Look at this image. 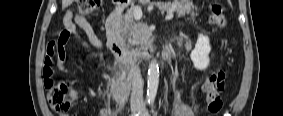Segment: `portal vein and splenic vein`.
<instances>
[{"label":"portal vein and splenic vein","mask_w":283,"mask_h":116,"mask_svg":"<svg viewBox=\"0 0 283 116\" xmlns=\"http://www.w3.org/2000/svg\"><path fill=\"white\" fill-rule=\"evenodd\" d=\"M142 10H141V8L140 7H135L134 9H133V16H134V18L136 19V20H140L141 18H142ZM174 17V11L173 10H170V11H168V13H167V15H166V17H165V20L166 21H169V20H171L172 18Z\"/></svg>","instance_id":"18ae733b"}]
</instances>
